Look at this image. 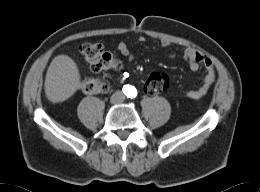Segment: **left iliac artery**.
Segmentation results:
<instances>
[{
    "mask_svg": "<svg viewBox=\"0 0 260 192\" xmlns=\"http://www.w3.org/2000/svg\"><path fill=\"white\" fill-rule=\"evenodd\" d=\"M136 96H137V91H136L135 88H133V89L131 90V92H130L129 97H130V98H135Z\"/></svg>",
    "mask_w": 260,
    "mask_h": 192,
    "instance_id": "1",
    "label": "left iliac artery"
}]
</instances>
